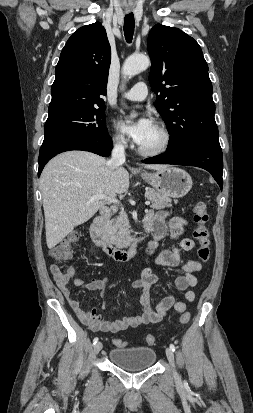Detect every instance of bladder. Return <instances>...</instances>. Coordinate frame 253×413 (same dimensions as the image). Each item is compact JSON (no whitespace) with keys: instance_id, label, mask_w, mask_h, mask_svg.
Segmentation results:
<instances>
[{"instance_id":"bladder-1","label":"bladder","mask_w":253,"mask_h":413,"mask_svg":"<svg viewBox=\"0 0 253 413\" xmlns=\"http://www.w3.org/2000/svg\"><path fill=\"white\" fill-rule=\"evenodd\" d=\"M110 361L128 371H139L151 367L156 361L154 349L146 346L115 347L109 353Z\"/></svg>"}]
</instances>
